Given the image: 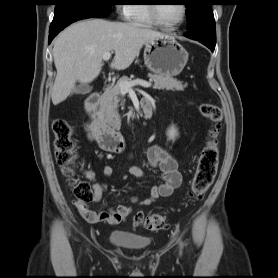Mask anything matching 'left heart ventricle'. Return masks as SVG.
<instances>
[{
    "label": "left heart ventricle",
    "instance_id": "obj_1",
    "mask_svg": "<svg viewBox=\"0 0 278 278\" xmlns=\"http://www.w3.org/2000/svg\"><path fill=\"white\" fill-rule=\"evenodd\" d=\"M158 18L165 24H173L177 22L182 13L181 4L171 3L158 5L156 7Z\"/></svg>",
    "mask_w": 278,
    "mask_h": 278
}]
</instances>
